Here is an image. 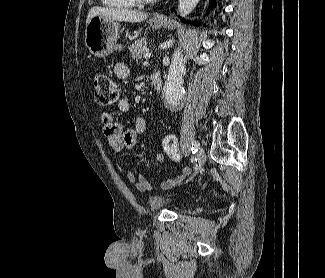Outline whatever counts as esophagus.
<instances>
[{"mask_svg": "<svg viewBox=\"0 0 325 278\" xmlns=\"http://www.w3.org/2000/svg\"><path fill=\"white\" fill-rule=\"evenodd\" d=\"M155 19H157V20H164L165 17L162 14H156L155 15Z\"/></svg>", "mask_w": 325, "mask_h": 278, "instance_id": "34e87169", "label": "esophagus"}]
</instances>
